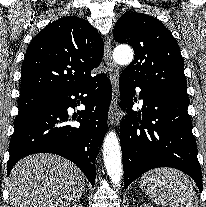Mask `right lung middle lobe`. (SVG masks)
I'll use <instances>...</instances> for the list:
<instances>
[{
    "label": "right lung middle lobe",
    "instance_id": "dd1d6c3e",
    "mask_svg": "<svg viewBox=\"0 0 206 207\" xmlns=\"http://www.w3.org/2000/svg\"><path fill=\"white\" fill-rule=\"evenodd\" d=\"M53 101L51 94H35L20 97L18 102V115L30 112L39 107L49 105Z\"/></svg>",
    "mask_w": 206,
    "mask_h": 207
}]
</instances>
